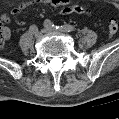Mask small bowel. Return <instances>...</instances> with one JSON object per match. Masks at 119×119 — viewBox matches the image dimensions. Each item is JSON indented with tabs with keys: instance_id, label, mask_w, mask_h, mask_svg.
<instances>
[{
	"instance_id": "small-bowel-1",
	"label": "small bowel",
	"mask_w": 119,
	"mask_h": 119,
	"mask_svg": "<svg viewBox=\"0 0 119 119\" xmlns=\"http://www.w3.org/2000/svg\"><path fill=\"white\" fill-rule=\"evenodd\" d=\"M41 2L46 3V4H51L54 7H60L63 14H83L86 12L85 8L82 5L72 3L69 0H42ZM28 5H29V3H27V2L18 4L17 6H15L12 9L11 15H14V16L18 15ZM1 19L3 22L8 23V22H10L11 17L8 14H3ZM17 23H18V25L24 24V22L21 20H19ZM3 35H4V38H6V39H8L10 37V29L8 27L3 28Z\"/></svg>"
}]
</instances>
